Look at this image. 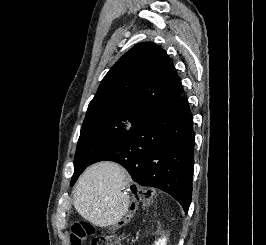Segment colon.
<instances>
[{
  "instance_id": "colon-1",
  "label": "colon",
  "mask_w": 266,
  "mask_h": 245,
  "mask_svg": "<svg viewBox=\"0 0 266 245\" xmlns=\"http://www.w3.org/2000/svg\"><path fill=\"white\" fill-rule=\"evenodd\" d=\"M135 200L139 205L146 206L150 203V196H137L135 197ZM93 234L94 228L90 224L73 221L71 224L70 244L82 245L83 241ZM90 245H124V243L115 236L109 233H104L102 236L92 237L90 239Z\"/></svg>"
}]
</instances>
